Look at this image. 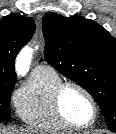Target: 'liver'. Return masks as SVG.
Segmentation results:
<instances>
[{
    "instance_id": "liver-1",
    "label": "liver",
    "mask_w": 116,
    "mask_h": 134,
    "mask_svg": "<svg viewBox=\"0 0 116 134\" xmlns=\"http://www.w3.org/2000/svg\"><path fill=\"white\" fill-rule=\"evenodd\" d=\"M0 134H33L29 130H18L15 128H0Z\"/></svg>"
}]
</instances>
